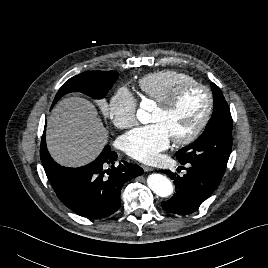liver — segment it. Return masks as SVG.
<instances>
[{
  "label": "liver",
  "instance_id": "6515ba94",
  "mask_svg": "<svg viewBox=\"0 0 268 268\" xmlns=\"http://www.w3.org/2000/svg\"><path fill=\"white\" fill-rule=\"evenodd\" d=\"M108 131L89 100L73 96L61 100L52 110L46 130V144L52 158L66 167H80L103 150Z\"/></svg>",
  "mask_w": 268,
  "mask_h": 268
}]
</instances>
